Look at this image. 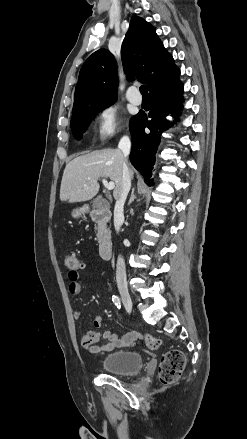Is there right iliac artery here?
Instances as JSON below:
<instances>
[{
    "label": "right iliac artery",
    "instance_id": "obj_1",
    "mask_svg": "<svg viewBox=\"0 0 247 439\" xmlns=\"http://www.w3.org/2000/svg\"><path fill=\"white\" fill-rule=\"evenodd\" d=\"M112 301L114 302V304H115L118 308L121 307V301H120V298H119L118 296L113 295V296H112Z\"/></svg>",
    "mask_w": 247,
    "mask_h": 439
}]
</instances>
